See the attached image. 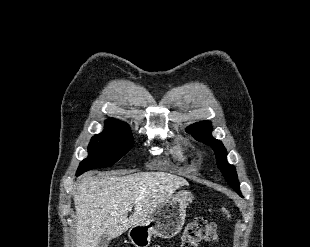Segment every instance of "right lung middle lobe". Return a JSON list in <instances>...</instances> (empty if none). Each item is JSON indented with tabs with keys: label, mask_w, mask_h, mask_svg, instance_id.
<instances>
[{
	"label": "right lung middle lobe",
	"mask_w": 310,
	"mask_h": 247,
	"mask_svg": "<svg viewBox=\"0 0 310 247\" xmlns=\"http://www.w3.org/2000/svg\"><path fill=\"white\" fill-rule=\"evenodd\" d=\"M134 140L129 126L116 121H106L105 130L92 137L88 146V157L84 159L77 173L94 168L109 167L116 163L133 146Z\"/></svg>",
	"instance_id": "obj_1"
}]
</instances>
